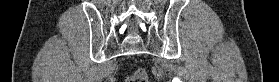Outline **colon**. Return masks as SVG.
I'll return each mask as SVG.
<instances>
[{
  "instance_id": "1",
  "label": "colon",
  "mask_w": 279,
  "mask_h": 82,
  "mask_svg": "<svg viewBox=\"0 0 279 82\" xmlns=\"http://www.w3.org/2000/svg\"><path fill=\"white\" fill-rule=\"evenodd\" d=\"M127 82H149V76L145 69H137L130 77L127 78Z\"/></svg>"
}]
</instances>
